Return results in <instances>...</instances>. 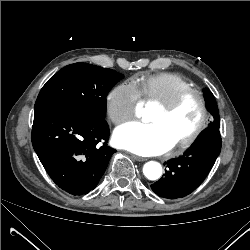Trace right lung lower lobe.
I'll return each instance as SVG.
<instances>
[{
    "label": "right lung lower lobe",
    "mask_w": 250,
    "mask_h": 250,
    "mask_svg": "<svg viewBox=\"0 0 250 250\" xmlns=\"http://www.w3.org/2000/svg\"><path fill=\"white\" fill-rule=\"evenodd\" d=\"M109 134L103 118L53 107L34 112V150L51 179L72 195L87 194L97 186L115 153L107 146Z\"/></svg>",
    "instance_id": "98d812e1"
}]
</instances>
